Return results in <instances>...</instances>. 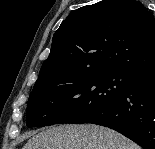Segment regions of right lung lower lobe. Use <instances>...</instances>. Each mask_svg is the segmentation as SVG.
I'll use <instances>...</instances> for the list:
<instances>
[{"label":"right lung lower lobe","mask_w":155,"mask_h":149,"mask_svg":"<svg viewBox=\"0 0 155 149\" xmlns=\"http://www.w3.org/2000/svg\"><path fill=\"white\" fill-rule=\"evenodd\" d=\"M89 123L112 128L143 149H155V70L136 74L129 89Z\"/></svg>","instance_id":"1"}]
</instances>
